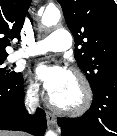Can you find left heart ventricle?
<instances>
[{"label": "left heart ventricle", "instance_id": "1", "mask_svg": "<svg viewBox=\"0 0 117 136\" xmlns=\"http://www.w3.org/2000/svg\"><path fill=\"white\" fill-rule=\"evenodd\" d=\"M80 96L81 93L78 82L71 74H69L66 85L61 90L52 95L55 102L65 106L78 103Z\"/></svg>", "mask_w": 117, "mask_h": 136}]
</instances>
